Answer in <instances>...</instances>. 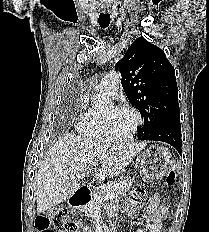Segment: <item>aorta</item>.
Segmentation results:
<instances>
[{
  "label": "aorta",
  "mask_w": 209,
  "mask_h": 232,
  "mask_svg": "<svg viewBox=\"0 0 209 232\" xmlns=\"http://www.w3.org/2000/svg\"><path fill=\"white\" fill-rule=\"evenodd\" d=\"M95 78V77H93ZM110 101L106 98H98L93 101V107L95 109H103L105 107H108L110 105Z\"/></svg>",
  "instance_id": "1"
}]
</instances>
